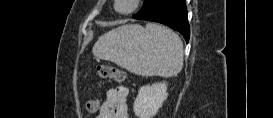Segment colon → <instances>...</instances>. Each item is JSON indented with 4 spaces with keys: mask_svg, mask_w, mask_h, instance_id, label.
Here are the masks:
<instances>
[{
    "mask_svg": "<svg viewBox=\"0 0 273 118\" xmlns=\"http://www.w3.org/2000/svg\"><path fill=\"white\" fill-rule=\"evenodd\" d=\"M97 74L100 78H111L117 82H123L125 80V73L111 65L100 64L97 66ZM87 111L90 113H96L99 110L98 100H89L86 104Z\"/></svg>",
    "mask_w": 273,
    "mask_h": 118,
    "instance_id": "colon-1",
    "label": "colon"
}]
</instances>
